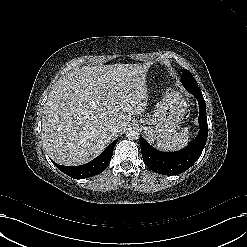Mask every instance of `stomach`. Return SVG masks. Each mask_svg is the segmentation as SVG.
<instances>
[{"mask_svg": "<svg viewBox=\"0 0 247 247\" xmlns=\"http://www.w3.org/2000/svg\"><path fill=\"white\" fill-rule=\"evenodd\" d=\"M186 113L184 96L178 91L168 90L154 114L141 119L140 125L150 141L163 140L176 130Z\"/></svg>", "mask_w": 247, "mask_h": 247, "instance_id": "1", "label": "stomach"}]
</instances>
